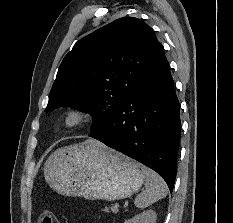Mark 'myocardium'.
I'll return each instance as SVG.
<instances>
[{
    "instance_id": "1",
    "label": "myocardium",
    "mask_w": 233,
    "mask_h": 223,
    "mask_svg": "<svg viewBox=\"0 0 233 223\" xmlns=\"http://www.w3.org/2000/svg\"><path fill=\"white\" fill-rule=\"evenodd\" d=\"M76 116L78 123L72 127H62V122L69 116ZM96 122L95 113L84 106L73 105L65 108L57 117L55 127L62 134H72L90 128Z\"/></svg>"
}]
</instances>
